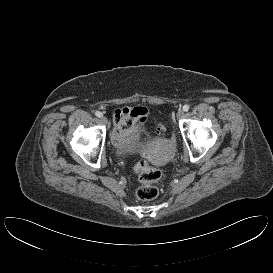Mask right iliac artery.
Returning <instances> with one entry per match:
<instances>
[{
	"label": "right iliac artery",
	"instance_id": "82829eb1",
	"mask_svg": "<svg viewBox=\"0 0 273 273\" xmlns=\"http://www.w3.org/2000/svg\"><path fill=\"white\" fill-rule=\"evenodd\" d=\"M95 115L100 118V117H102L103 114L100 111H96Z\"/></svg>",
	"mask_w": 273,
	"mask_h": 273
}]
</instances>
